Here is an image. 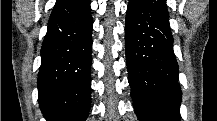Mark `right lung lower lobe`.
Returning a JSON list of instances; mask_svg holds the SVG:
<instances>
[{
	"mask_svg": "<svg viewBox=\"0 0 217 121\" xmlns=\"http://www.w3.org/2000/svg\"><path fill=\"white\" fill-rule=\"evenodd\" d=\"M93 20L88 0H57L41 48L38 100L47 121H85Z\"/></svg>",
	"mask_w": 217,
	"mask_h": 121,
	"instance_id": "obj_1",
	"label": "right lung lower lobe"
}]
</instances>
